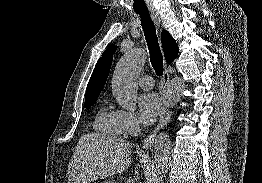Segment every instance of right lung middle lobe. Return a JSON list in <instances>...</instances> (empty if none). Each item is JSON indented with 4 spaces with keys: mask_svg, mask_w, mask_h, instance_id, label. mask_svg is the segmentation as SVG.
<instances>
[{
    "mask_svg": "<svg viewBox=\"0 0 262 183\" xmlns=\"http://www.w3.org/2000/svg\"><path fill=\"white\" fill-rule=\"evenodd\" d=\"M97 99H90V100H85V104L84 107H86L87 109L90 108L91 105H93L96 102Z\"/></svg>",
    "mask_w": 262,
    "mask_h": 183,
    "instance_id": "1",
    "label": "right lung middle lobe"
}]
</instances>
